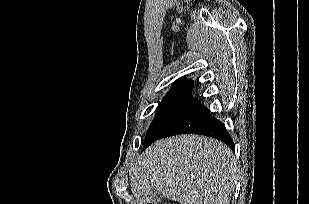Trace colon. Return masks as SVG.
I'll return each instance as SVG.
<instances>
[{
    "mask_svg": "<svg viewBox=\"0 0 309 204\" xmlns=\"http://www.w3.org/2000/svg\"><path fill=\"white\" fill-rule=\"evenodd\" d=\"M148 204H153V203L149 202ZM162 204H168V203H162Z\"/></svg>",
    "mask_w": 309,
    "mask_h": 204,
    "instance_id": "obj_1",
    "label": "colon"
}]
</instances>
